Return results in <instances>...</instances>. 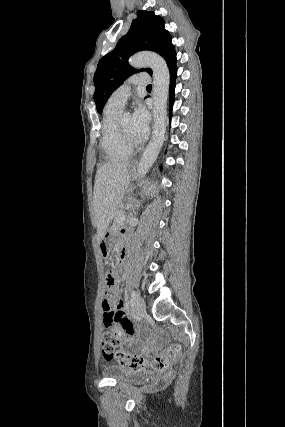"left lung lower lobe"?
I'll use <instances>...</instances> for the list:
<instances>
[{
	"label": "left lung lower lobe",
	"instance_id": "1",
	"mask_svg": "<svg viewBox=\"0 0 285 427\" xmlns=\"http://www.w3.org/2000/svg\"><path fill=\"white\" fill-rule=\"evenodd\" d=\"M176 56L169 62L167 63L168 67H169V71H170V78H171V82H170V97H169V104H170V118H171V114H172V106H173V102H174V89H175V80L177 77V67H176Z\"/></svg>",
	"mask_w": 285,
	"mask_h": 427
}]
</instances>
